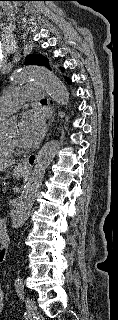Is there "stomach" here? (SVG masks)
I'll return each mask as SVG.
<instances>
[{"label": "stomach", "instance_id": "stomach-1", "mask_svg": "<svg viewBox=\"0 0 118 320\" xmlns=\"http://www.w3.org/2000/svg\"><path fill=\"white\" fill-rule=\"evenodd\" d=\"M28 171V167L27 166H23L22 164H19L18 166H15L13 168L12 174L15 177H21L24 176Z\"/></svg>", "mask_w": 118, "mask_h": 320}]
</instances>
